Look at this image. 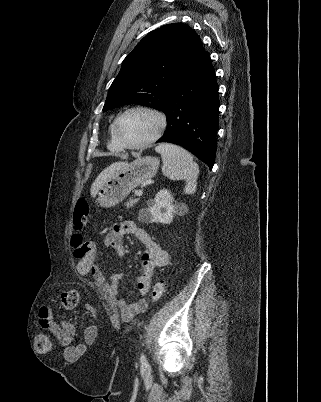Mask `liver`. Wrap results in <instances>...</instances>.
<instances>
[{
  "mask_svg": "<svg viewBox=\"0 0 321 402\" xmlns=\"http://www.w3.org/2000/svg\"><path fill=\"white\" fill-rule=\"evenodd\" d=\"M128 163L127 162H115L112 163L110 166L105 168L95 179L91 186V195L95 196L99 188L104 184V182L112 176L116 171L120 170L121 168L125 167Z\"/></svg>",
  "mask_w": 321,
  "mask_h": 402,
  "instance_id": "liver-1",
  "label": "liver"
}]
</instances>
